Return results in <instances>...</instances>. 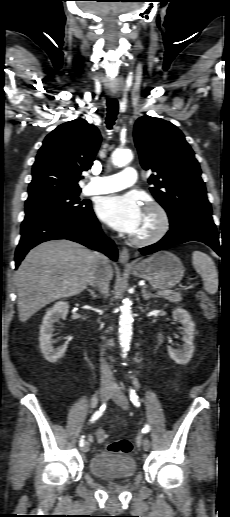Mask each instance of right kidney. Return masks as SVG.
<instances>
[{"instance_id":"ca27d5eb","label":"right kidney","mask_w":230,"mask_h":517,"mask_svg":"<svg viewBox=\"0 0 230 517\" xmlns=\"http://www.w3.org/2000/svg\"><path fill=\"white\" fill-rule=\"evenodd\" d=\"M69 311L68 302L59 301L53 305L45 314L42 325L40 326V349L44 355V358L54 363L58 359H60L66 349L68 342H65L62 346L54 348L52 346V336H53V324L59 322L60 319H65L66 315Z\"/></svg>"}]
</instances>
